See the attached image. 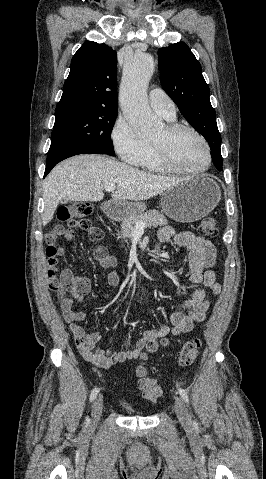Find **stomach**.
<instances>
[{"instance_id": "obj_1", "label": "stomach", "mask_w": 266, "mask_h": 479, "mask_svg": "<svg viewBox=\"0 0 266 479\" xmlns=\"http://www.w3.org/2000/svg\"><path fill=\"white\" fill-rule=\"evenodd\" d=\"M221 191L208 175L184 180L162 193L161 208L174 221L189 223L207 216L218 204ZM144 203L111 202L104 206L106 215L114 220L144 212Z\"/></svg>"}]
</instances>
